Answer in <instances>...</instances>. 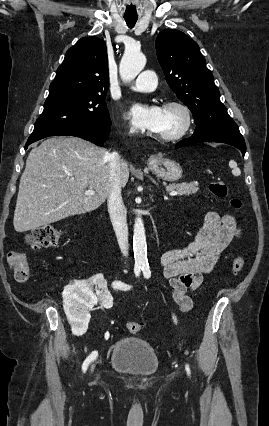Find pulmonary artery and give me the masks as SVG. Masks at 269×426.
<instances>
[{
	"label": "pulmonary artery",
	"instance_id": "e3ab8cb5",
	"mask_svg": "<svg viewBox=\"0 0 269 426\" xmlns=\"http://www.w3.org/2000/svg\"><path fill=\"white\" fill-rule=\"evenodd\" d=\"M156 74L151 70L141 72L130 84V89L139 92H150L156 88Z\"/></svg>",
	"mask_w": 269,
	"mask_h": 426
}]
</instances>
